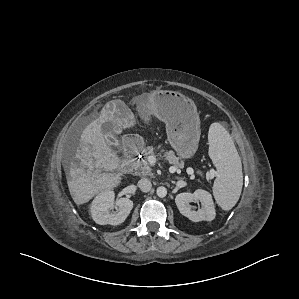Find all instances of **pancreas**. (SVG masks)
Listing matches in <instances>:
<instances>
[{"label":"pancreas","mask_w":299,"mask_h":299,"mask_svg":"<svg viewBox=\"0 0 299 299\" xmlns=\"http://www.w3.org/2000/svg\"><path fill=\"white\" fill-rule=\"evenodd\" d=\"M162 150L161 153H159L160 157H165V160H167L170 164H173L176 168H182L184 166V162L179 159V157L175 156L173 151H166L164 152ZM156 151L153 147H148L144 150V159L136 161L134 164L135 174L136 175H142V176H151L152 170L150 167V163L148 162L149 156H155Z\"/></svg>","instance_id":"1"}]
</instances>
